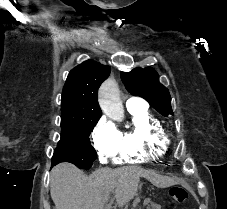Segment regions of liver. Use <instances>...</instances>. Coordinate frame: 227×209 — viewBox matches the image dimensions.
Segmentation results:
<instances>
[{
  "instance_id": "6515ba94",
  "label": "liver",
  "mask_w": 227,
  "mask_h": 209,
  "mask_svg": "<svg viewBox=\"0 0 227 209\" xmlns=\"http://www.w3.org/2000/svg\"><path fill=\"white\" fill-rule=\"evenodd\" d=\"M154 175L140 167H122L99 169L86 177L75 165L60 163L50 173V195L55 209H103L112 189L118 187L123 205L135 195L139 177L153 179Z\"/></svg>"
}]
</instances>
